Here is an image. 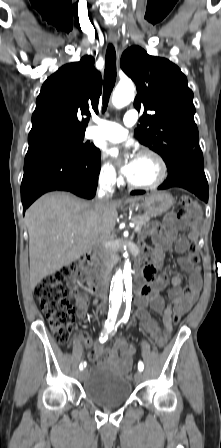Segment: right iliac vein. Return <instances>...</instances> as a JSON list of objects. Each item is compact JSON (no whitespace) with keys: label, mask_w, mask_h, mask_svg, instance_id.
Returning <instances> with one entry per match:
<instances>
[{"label":"right iliac vein","mask_w":221,"mask_h":448,"mask_svg":"<svg viewBox=\"0 0 221 448\" xmlns=\"http://www.w3.org/2000/svg\"><path fill=\"white\" fill-rule=\"evenodd\" d=\"M85 374H86V369H82L78 374L79 379L82 380L84 378Z\"/></svg>","instance_id":"obj_1"}]
</instances>
